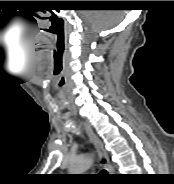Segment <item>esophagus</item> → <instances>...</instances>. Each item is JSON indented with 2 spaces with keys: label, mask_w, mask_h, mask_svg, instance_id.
Instances as JSON below:
<instances>
[{
  "label": "esophagus",
  "mask_w": 174,
  "mask_h": 184,
  "mask_svg": "<svg viewBox=\"0 0 174 184\" xmlns=\"http://www.w3.org/2000/svg\"><path fill=\"white\" fill-rule=\"evenodd\" d=\"M84 126L86 128V131L89 135L91 142L94 144L96 148L100 166L106 169L108 172H112V167L109 163L108 155L102 141L98 138L97 135L94 134L92 129L87 124L84 123Z\"/></svg>",
  "instance_id": "1"
}]
</instances>
